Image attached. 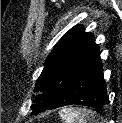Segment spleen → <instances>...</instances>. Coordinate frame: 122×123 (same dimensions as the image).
I'll list each match as a JSON object with an SVG mask.
<instances>
[{
    "mask_svg": "<svg viewBox=\"0 0 122 123\" xmlns=\"http://www.w3.org/2000/svg\"><path fill=\"white\" fill-rule=\"evenodd\" d=\"M59 116L64 123H87L88 120L95 122L97 114L86 108H63Z\"/></svg>",
    "mask_w": 122,
    "mask_h": 123,
    "instance_id": "obj_1",
    "label": "spleen"
}]
</instances>
